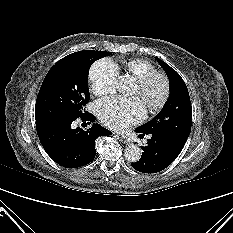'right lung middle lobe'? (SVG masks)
<instances>
[{
  "label": "right lung middle lobe",
  "instance_id": "1",
  "mask_svg": "<svg viewBox=\"0 0 233 233\" xmlns=\"http://www.w3.org/2000/svg\"><path fill=\"white\" fill-rule=\"evenodd\" d=\"M112 52L83 50L59 60L47 73L37 96L36 124L80 117L90 99V66Z\"/></svg>",
  "mask_w": 233,
  "mask_h": 233
}]
</instances>
